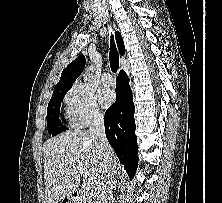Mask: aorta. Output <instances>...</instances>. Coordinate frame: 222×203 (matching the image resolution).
<instances>
[{
	"instance_id": "obj_1",
	"label": "aorta",
	"mask_w": 222,
	"mask_h": 203,
	"mask_svg": "<svg viewBox=\"0 0 222 203\" xmlns=\"http://www.w3.org/2000/svg\"><path fill=\"white\" fill-rule=\"evenodd\" d=\"M94 71V66L93 65H90L85 74H84V81H87L88 80V77L91 75V73Z\"/></svg>"
}]
</instances>
